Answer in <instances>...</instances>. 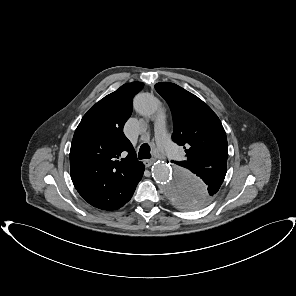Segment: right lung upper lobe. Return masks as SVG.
Segmentation results:
<instances>
[{"mask_svg":"<svg viewBox=\"0 0 296 296\" xmlns=\"http://www.w3.org/2000/svg\"><path fill=\"white\" fill-rule=\"evenodd\" d=\"M144 84H124L97 102L82 118L70 149L73 184L90 205L115 210L132 197L138 161L123 126L132 113V100Z\"/></svg>","mask_w":296,"mask_h":296,"instance_id":"right-lung-upper-lobe-1","label":"right lung upper lobe"}]
</instances>
